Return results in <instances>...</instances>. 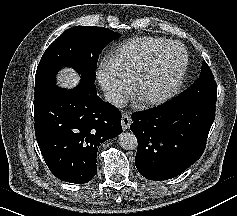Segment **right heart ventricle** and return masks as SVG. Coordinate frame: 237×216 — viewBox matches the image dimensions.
<instances>
[{
    "label": "right heart ventricle",
    "mask_w": 237,
    "mask_h": 216,
    "mask_svg": "<svg viewBox=\"0 0 237 216\" xmlns=\"http://www.w3.org/2000/svg\"><path fill=\"white\" fill-rule=\"evenodd\" d=\"M160 39L137 35L128 43L117 47L108 57V68L113 75L121 80L131 82L138 68L152 62L157 54L158 47L155 42Z\"/></svg>",
    "instance_id": "1"
}]
</instances>
